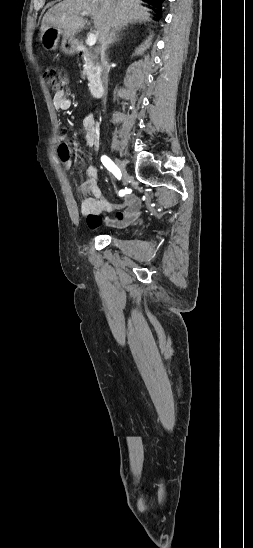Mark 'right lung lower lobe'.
<instances>
[{
    "instance_id": "obj_1",
    "label": "right lung lower lobe",
    "mask_w": 253,
    "mask_h": 548,
    "mask_svg": "<svg viewBox=\"0 0 253 548\" xmlns=\"http://www.w3.org/2000/svg\"><path fill=\"white\" fill-rule=\"evenodd\" d=\"M145 1L150 2L156 8H161L162 2L164 0H145Z\"/></svg>"
}]
</instances>
